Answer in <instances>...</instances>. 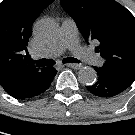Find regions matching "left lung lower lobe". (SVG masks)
Segmentation results:
<instances>
[{
	"mask_svg": "<svg viewBox=\"0 0 135 135\" xmlns=\"http://www.w3.org/2000/svg\"><path fill=\"white\" fill-rule=\"evenodd\" d=\"M97 72V81L87 86V90L95 96L108 98L126 90L133 82L105 69L94 67Z\"/></svg>",
	"mask_w": 135,
	"mask_h": 135,
	"instance_id": "1",
	"label": "left lung lower lobe"
}]
</instances>
